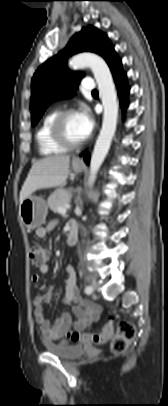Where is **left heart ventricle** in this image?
Returning a JSON list of instances; mask_svg holds the SVG:
<instances>
[{
    "label": "left heart ventricle",
    "mask_w": 168,
    "mask_h": 406,
    "mask_svg": "<svg viewBox=\"0 0 168 406\" xmlns=\"http://www.w3.org/2000/svg\"><path fill=\"white\" fill-rule=\"evenodd\" d=\"M64 131L71 141H80L85 138L77 114H72L65 120Z\"/></svg>",
    "instance_id": "1"
}]
</instances>
